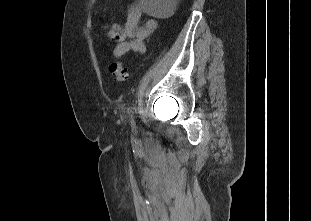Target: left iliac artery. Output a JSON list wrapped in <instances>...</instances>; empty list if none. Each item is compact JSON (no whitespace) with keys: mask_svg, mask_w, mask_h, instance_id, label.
Wrapping results in <instances>:
<instances>
[{"mask_svg":"<svg viewBox=\"0 0 311 221\" xmlns=\"http://www.w3.org/2000/svg\"><path fill=\"white\" fill-rule=\"evenodd\" d=\"M130 122H131L132 127H135V121H134L133 115L130 116Z\"/></svg>","mask_w":311,"mask_h":221,"instance_id":"1","label":"left iliac artery"}]
</instances>
